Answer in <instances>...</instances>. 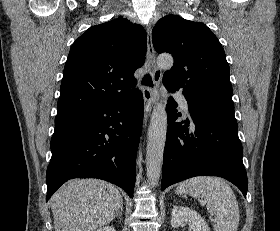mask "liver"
Returning a JSON list of instances; mask_svg holds the SVG:
<instances>
[{
  "label": "liver",
  "mask_w": 280,
  "mask_h": 231,
  "mask_svg": "<svg viewBox=\"0 0 280 231\" xmlns=\"http://www.w3.org/2000/svg\"><path fill=\"white\" fill-rule=\"evenodd\" d=\"M122 195L102 179H69L50 199L55 231H93L114 219Z\"/></svg>",
  "instance_id": "6515ba94"
}]
</instances>
